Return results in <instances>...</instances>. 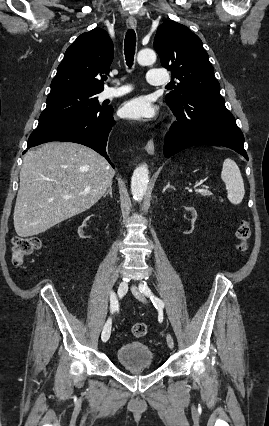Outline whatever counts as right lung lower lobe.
<instances>
[{"label":"right lung lower lobe","mask_w":269,"mask_h":426,"mask_svg":"<svg viewBox=\"0 0 269 426\" xmlns=\"http://www.w3.org/2000/svg\"><path fill=\"white\" fill-rule=\"evenodd\" d=\"M115 123L113 108L102 107L98 111L37 127L29 137L27 149L50 141L75 142L97 151L114 167L107 155L106 144Z\"/></svg>","instance_id":"98d812e1"}]
</instances>
